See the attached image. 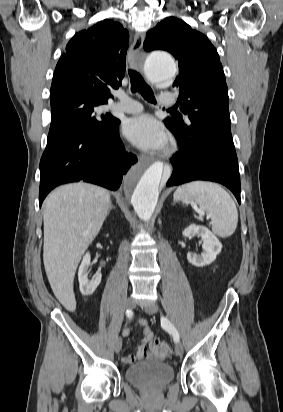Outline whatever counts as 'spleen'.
<instances>
[{"label":"spleen","mask_w":283,"mask_h":412,"mask_svg":"<svg viewBox=\"0 0 283 412\" xmlns=\"http://www.w3.org/2000/svg\"><path fill=\"white\" fill-rule=\"evenodd\" d=\"M175 200H193L211 218L212 231L219 237L231 236L237 227L238 212L230 195L218 184L194 181L175 191Z\"/></svg>","instance_id":"1"}]
</instances>
